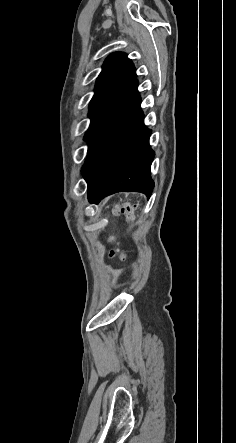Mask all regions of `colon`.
<instances>
[{
    "label": "colon",
    "instance_id": "5ec220e1",
    "mask_svg": "<svg viewBox=\"0 0 236 443\" xmlns=\"http://www.w3.org/2000/svg\"><path fill=\"white\" fill-rule=\"evenodd\" d=\"M134 211H135V205L131 204V203H125L123 205H114V212L118 213V212H122L123 214L126 215V217L128 218V221L133 220L134 218ZM114 239L112 238L111 241H113ZM116 255H118V257L121 260H125L127 258V254L122 251V250H117V249H111L109 251V257H115Z\"/></svg>",
    "mask_w": 236,
    "mask_h": 443
}]
</instances>
